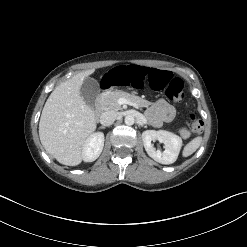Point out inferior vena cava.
Wrapping results in <instances>:
<instances>
[{
    "label": "inferior vena cava",
    "mask_w": 247,
    "mask_h": 247,
    "mask_svg": "<svg viewBox=\"0 0 247 247\" xmlns=\"http://www.w3.org/2000/svg\"><path fill=\"white\" fill-rule=\"evenodd\" d=\"M117 118V114L115 111H105L101 114L100 116V123L103 126H110L111 124L114 123V121Z\"/></svg>",
    "instance_id": "1"
}]
</instances>
